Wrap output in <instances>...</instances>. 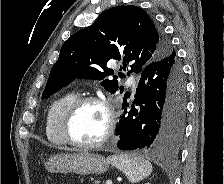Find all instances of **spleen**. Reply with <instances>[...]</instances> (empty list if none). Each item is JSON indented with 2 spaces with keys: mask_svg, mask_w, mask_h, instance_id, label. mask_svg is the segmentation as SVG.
Returning a JSON list of instances; mask_svg holds the SVG:
<instances>
[{
  "mask_svg": "<svg viewBox=\"0 0 224 184\" xmlns=\"http://www.w3.org/2000/svg\"><path fill=\"white\" fill-rule=\"evenodd\" d=\"M108 163L121 170L131 183H137L152 172V164L138 156L127 154L111 155L107 158Z\"/></svg>",
  "mask_w": 224,
  "mask_h": 184,
  "instance_id": "1",
  "label": "spleen"
}]
</instances>
